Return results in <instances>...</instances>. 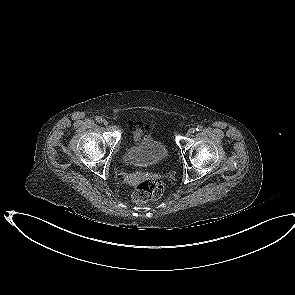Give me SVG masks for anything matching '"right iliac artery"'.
<instances>
[{
	"label": "right iliac artery",
	"mask_w": 295,
	"mask_h": 295,
	"mask_svg": "<svg viewBox=\"0 0 295 295\" xmlns=\"http://www.w3.org/2000/svg\"><path fill=\"white\" fill-rule=\"evenodd\" d=\"M96 121L100 123L103 121V119H102V117L98 116V117H96Z\"/></svg>",
	"instance_id": "right-iliac-artery-1"
}]
</instances>
